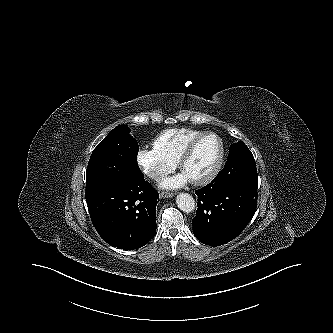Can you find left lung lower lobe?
<instances>
[{
    "mask_svg": "<svg viewBox=\"0 0 333 333\" xmlns=\"http://www.w3.org/2000/svg\"><path fill=\"white\" fill-rule=\"evenodd\" d=\"M227 171L223 168L210 184L195 191L193 233L206 245L219 246L236 238L257 208V188L238 182L234 172Z\"/></svg>",
    "mask_w": 333,
    "mask_h": 333,
    "instance_id": "obj_1",
    "label": "left lung lower lobe"
}]
</instances>
